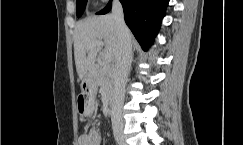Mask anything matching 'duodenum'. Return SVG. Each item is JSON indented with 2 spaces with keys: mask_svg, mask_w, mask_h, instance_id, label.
Returning a JSON list of instances; mask_svg holds the SVG:
<instances>
[{
  "mask_svg": "<svg viewBox=\"0 0 243 145\" xmlns=\"http://www.w3.org/2000/svg\"><path fill=\"white\" fill-rule=\"evenodd\" d=\"M93 73H94V71L91 70V71H90V81L93 80ZM108 105H109L110 108H113V106H114V97H113V96H110V97L108 98Z\"/></svg>",
  "mask_w": 243,
  "mask_h": 145,
  "instance_id": "410a0bca",
  "label": "duodenum"
}]
</instances>
